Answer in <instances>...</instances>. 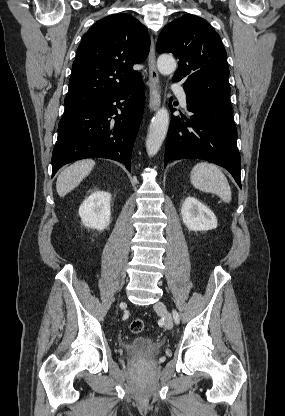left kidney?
<instances>
[{
	"label": "left kidney",
	"instance_id": "1",
	"mask_svg": "<svg viewBox=\"0 0 285 416\" xmlns=\"http://www.w3.org/2000/svg\"><path fill=\"white\" fill-rule=\"evenodd\" d=\"M183 224L191 232H203L217 228V218L210 208L198 202L196 198H186L181 208Z\"/></svg>",
	"mask_w": 285,
	"mask_h": 416
}]
</instances>
